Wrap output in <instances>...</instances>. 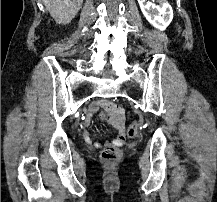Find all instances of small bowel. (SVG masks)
<instances>
[{"label":"small bowel","instance_id":"1","mask_svg":"<svg viewBox=\"0 0 217 202\" xmlns=\"http://www.w3.org/2000/svg\"><path fill=\"white\" fill-rule=\"evenodd\" d=\"M101 108L103 109L104 113H107V119L111 120V126H113L114 130L116 131V138L112 141H107L105 143L106 146L110 145H122L125 143V127L123 124V112L122 114L119 113L120 109L122 108L121 104H115L114 101H102L101 102ZM98 109V103L94 102L92 103L88 110H87V120H89L93 114ZM83 138L92 147L98 149L102 146L100 142H93L91 139V136L88 132H83Z\"/></svg>","mask_w":217,"mask_h":202}]
</instances>
